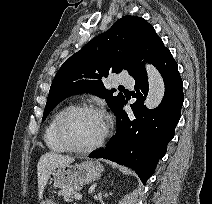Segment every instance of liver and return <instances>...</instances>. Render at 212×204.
<instances>
[{"label":"liver","mask_w":212,"mask_h":204,"mask_svg":"<svg viewBox=\"0 0 212 204\" xmlns=\"http://www.w3.org/2000/svg\"><path fill=\"white\" fill-rule=\"evenodd\" d=\"M73 162V157L64 156L54 152L45 153L40 157L37 165L39 199L43 196L44 188L52 171L60 166L69 165Z\"/></svg>","instance_id":"6515ba94"}]
</instances>
